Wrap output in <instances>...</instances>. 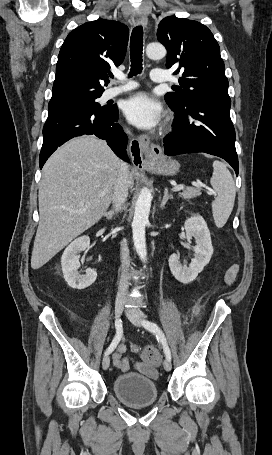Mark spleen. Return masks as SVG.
<instances>
[{
    "instance_id": "obj_1",
    "label": "spleen",
    "mask_w": 272,
    "mask_h": 455,
    "mask_svg": "<svg viewBox=\"0 0 272 455\" xmlns=\"http://www.w3.org/2000/svg\"><path fill=\"white\" fill-rule=\"evenodd\" d=\"M211 185L217 192V198L212 202L215 225L222 228L232 212L236 188L231 173L221 161H214L213 163Z\"/></svg>"
}]
</instances>
